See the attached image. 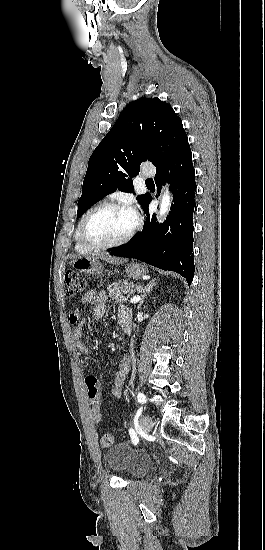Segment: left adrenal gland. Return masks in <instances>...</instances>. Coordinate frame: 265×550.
Here are the masks:
<instances>
[{
  "mask_svg": "<svg viewBox=\"0 0 265 550\" xmlns=\"http://www.w3.org/2000/svg\"><path fill=\"white\" fill-rule=\"evenodd\" d=\"M156 286V281L155 280H152L150 281L143 289H142V298H141V301L138 305V309H141V305L144 303V300L147 296L148 293H150V291L153 289V287Z\"/></svg>",
  "mask_w": 265,
  "mask_h": 550,
  "instance_id": "left-adrenal-gland-1",
  "label": "left adrenal gland"
}]
</instances>
